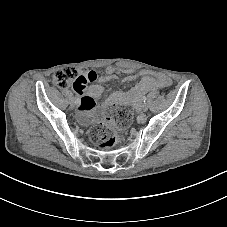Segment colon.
<instances>
[{
  "instance_id": "1",
  "label": "colon",
  "mask_w": 227,
  "mask_h": 227,
  "mask_svg": "<svg viewBox=\"0 0 227 227\" xmlns=\"http://www.w3.org/2000/svg\"><path fill=\"white\" fill-rule=\"evenodd\" d=\"M78 80L79 74L73 67L62 68L55 75L57 85L62 88ZM131 118L132 110L128 105L116 109L111 117L92 127L90 130L92 142L104 150L115 147L121 140V130L129 125Z\"/></svg>"
}]
</instances>
